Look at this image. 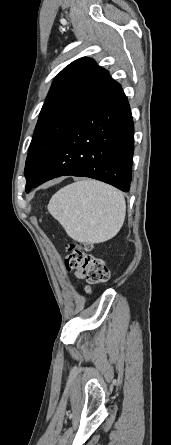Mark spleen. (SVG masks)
<instances>
[{
	"mask_svg": "<svg viewBox=\"0 0 171 445\" xmlns=\"http://www.w3.org/2000/svg\"><path fill=\"white\" fill-rule=\"evenodd\" d=\"M48 211L73 239L101 243L121 229L126 214L122 192L102 182L86 179L56 192Z\"/></svg>",
	"mask_w": 171,
	"mask_h": 445,
	"instance_id": "spleen-1",
	"label": "spleen"
}]
</instances>
